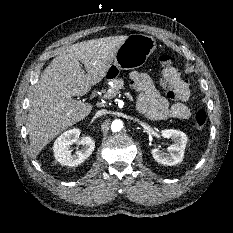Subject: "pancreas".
Returning <instances> with one entry per match:
<instances>
[{
    "instance_id": "pancreas-1",
    "label": "pancreas",
    "mask_w": 233,
    "mask_h": 233,
    "mask_svg": "<svg viewBox=\"0 0 233 233\" xmlns=\"http://www.w3.org/2000/svg\"><path fill=\"white\" fill-rule=\"evenodd\" d=\"M112 86H109L106 90V94L111 93V95L114 97L120 89L124 87V81L122 78L113 79L112 80Z\"/></svg>"
}]
</instances>
